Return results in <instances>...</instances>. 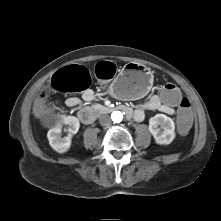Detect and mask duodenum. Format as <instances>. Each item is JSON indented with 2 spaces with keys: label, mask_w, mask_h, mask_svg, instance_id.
<instances>
[{
  "label": "duodenum",
  "mask_w": 221,
  "mask_h": 221,
  "mask_svg": "<svg viewBox=\"0 0 221 221\" xmlns=\"http://www.w3.org/2000/svg\"><path fill=\"white\" fill-rule=\"evenodd\" d=\"M112 110H120L124 112L127 117H132L133 115V110L126 105H119L115 108L107 109V111ZM98 114L99 112L92 107H84L78 112V118L83 124H91L96 120Z\"/></svg>",
  "instance_id": "1"
}]
</instances>
